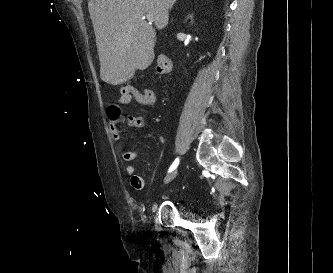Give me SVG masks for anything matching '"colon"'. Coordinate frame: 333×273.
Segmentation results:
<instances>
[{"instance_id": "1", "label": "colon", "mask_w": 333, "mask_h": 273, "mask_svg": "<svg viewBox=\"0 0 333 273\" xmlns=\"http://www.w3.org/2000/svg\"><path fill=\"white\" fill-rule=\"evenodd\" d=\"M171 70V62L168 57L165 55H159L156 60V71L160 75L168 74ZM135 91V89L127 85L122 88V94H131ZM110 117L117 119L119 116V110L115 109L113 106L109 108Z\"/></svg>"}]
</instances>
